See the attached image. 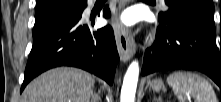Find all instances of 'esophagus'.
Wrapping results in <instances>:
<instances>
[{"mask_svg":"<svg viewBox=\"0 0 221 102\" xmlns=\"http://www.w3.org/2000/svg\"><path fill=\"white\" fill-rule=\"evenodd\" d=\"M114 33L119 56L122 61H128L135 54L134 39L128 30L123 28L117 21L114 22Z\"/></svg>","mask_w":221,"mask_h":102,"instance_id":"esophagus-1","label":"esophagus"}]
</instances>
